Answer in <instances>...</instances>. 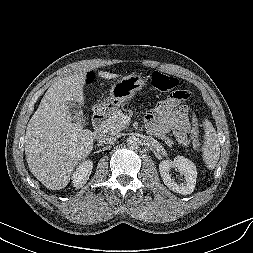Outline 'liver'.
Returning <instances> with one entry per match:
<instances>
[{"label":"liver","mask_w":253,"mask_h":253,"mask_svg":"<svg viewBox=\"0 0 253 253\" xmlns=\"http://www.w3.org/2000/svg\"><path fill=\"white\" fill-rule=\"evenodd\" d=\"M86 68L54 82L31 117L25 134V155L32 174L48 189L67 186L71 174L93 150L94 133L72 120L67 103L84 105ZM104 79L118 75L100 71Z\"/></svg>","instance_id":"1"}]
</instances>
